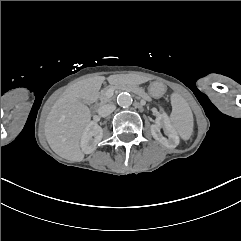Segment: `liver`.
<instances>
[{"label": "liver", "mask_w": 241, "mask_h": 241, "mask_svg": "<svg viewBox=\"0 0 241 241\" xmlns=\"http://www.w3.org/2000/svg\"><path fill=\"white\" fill-rule=\"evenodd\" d=\"M117 75L107 78L116 84ZM104 76H95L72 84L54 103L45 122V136L51 149L60 157L80 162L84 154L79 141L90 123L91 113L86 103L98 98Z\"/></svg>", "instance_id": "obj_1"}]
</instances>
